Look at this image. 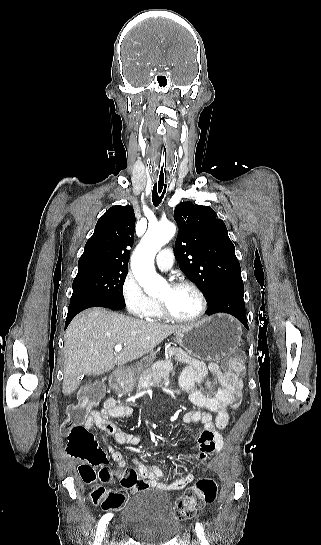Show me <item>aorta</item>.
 <instances>
[{
	"label": "aorta",
	"instance_id": "aorta-1",
	"mask_svg": "<svg viewBox=\"0 0 321 545\" xmlns=\"http://www.w3.org/2000/svg\"><path fill=\"white\" fill-rule=\"evenodd\" d=\"M175 232V225L168 221L149 226L131 258L132 272L148 294L156 295L166 285L165 280L155 271L154 259Z\"/></svg>",
	"mask_w": 321,
	"mask_h": 545
}]
</instances>
